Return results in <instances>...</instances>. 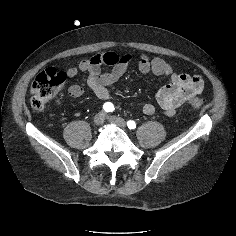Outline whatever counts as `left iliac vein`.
I'll return each mask as SVG.
<instances>
[{
  "label": "left iliac vein",
  "instance_id": "1",
  "mask_svg": "<svg viewBox=\"0 0 236 236\" xmlns=\"http://www.w3.org/2000/svg\"><path fill=\"white\" fill-rule=\"evenodd\" d=\"M107 119H108V121L110 123H113V124H115V125H117V126H119L121 128H125L126 127L125 120L120 118V117L112 115V116H108Z\"/></svg>",
  "mask_w": 236,
  "mask_h": 236
}]
</instances>
